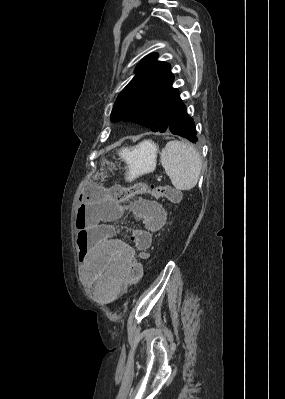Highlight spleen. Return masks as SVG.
Returning a JSON list of instances; mask_svg holds the SVG:
<instances>
[{
	"label": "spleen",
	"instance_id": "3e777b00",
	"mask_svg": "<svg viewBox=\"0 0 285 399\" xmlns=\"http://www.w3.org/2000/svg\"><path fill=\"white\" fill-rule=\"evenodd\" d=\"M161 164L178 190L196 186L201 173V157L196 149L182 141H169L161 152Z\"/></svg>",
	"mask_w": 285,
	"mask_h": 399
}]
</instances>
